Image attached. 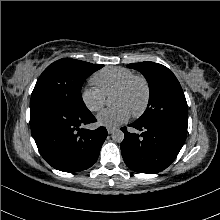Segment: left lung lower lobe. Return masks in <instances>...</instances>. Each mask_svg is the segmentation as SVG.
Returning <instances> with one entry per match:
<instances>
[{
  "instance_id": "1",
  "label": "left lung lower lobe",
  "mask_w": 220,
  "mask_h": 220,
  "mask_svg": "<svg viewBox=\"0 0 220 220\" xmlns=\"http://www.w3.org/2000/svg\"><path fill=\"white\" fill-rule=\"evenodd\" d=\"M129 126L142 131L130 133L126 127L121 152L126 165L140 173H158L166 169L177 157L187 132L164 122L138 123Z\"/></svg>"
}]
</instances>
